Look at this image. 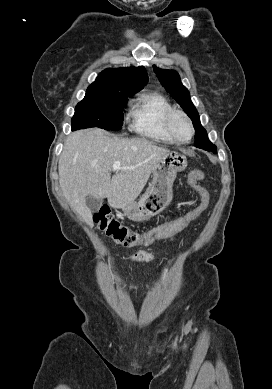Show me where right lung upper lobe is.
<instances>
[{
  "label": "right lung upper lobe",
  "mask_w": 272,
  "mask_h": 389,
  "mask_svg": "<svg viewBox=\"0 0 272 389\" xmlns=\"http://www.w3.org/2000/svg\"><path fill=\"white\" fill-rule=\"evenodd\" d=\"M148 76L143 66L103 70L88 88L137 93L143 89Z\"/></svg>",
  "instance_id": "obj_1"
}]
</instances>
